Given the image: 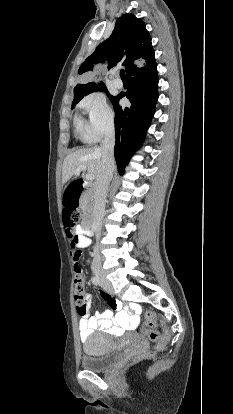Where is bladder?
<instances>
[{
  "mask_svg": "<svg viewBox=\"0 0 233 414\" xmlns=\"http://www.w3.org/2000/svg\"><path fill=\"white\" fill-rule=\"evenodd\" d=\"M120 357V351L103 333H96L85 341L84 354L80 359L82 369L102 372L110 369Z\"/></svg>",
  "mask_w": 233,
  "mask_h": 414,
  "instance_id": "31cf9c89",
  "label": "bladder"
}]
</instances>
